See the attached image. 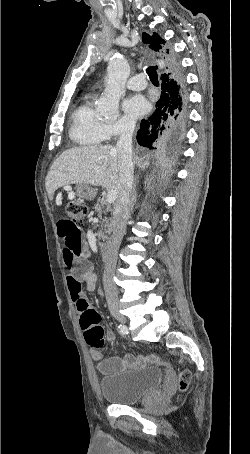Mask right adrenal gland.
Listing matches in <instances>:
<instances>
[{
  "label": "right adrenal gland",
  "mask_w": 250,
  "mask_h": 454,
  "mask_svg": "<svg viewBox=\"0 0 250 454\" xmlns=\"http://www.w3.org/2000/svg\"><path fill=\"white\" fill-rule=\"evenodd\" d=\"M136 201H137V194H136V183H135L134 187H133V191H132L131 210H133Z\"/></svg>",
  "instance_id": "2a0ac1e0"
}]
</instances>
